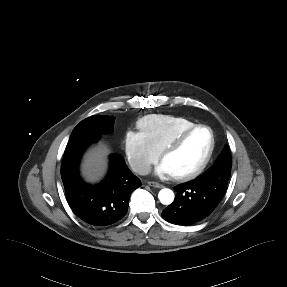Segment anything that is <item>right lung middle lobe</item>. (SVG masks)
<instances>
[{"label": "right lung middle lobe", "instance_id": "obj_1", "mask_svg": "<svg viewBox=\"0 0 287 287\" xmlns=\"http://www.w3.org/2000/svg\"><path fill=\"white\" fill-rule=\"evenodd\" d=\"M115 117L105 115H93L81 121L72 131V135L79 133H111L113 132V124Z\"/></svg>", "mask_w": 287, "mask_h": 287}]
</instances>
